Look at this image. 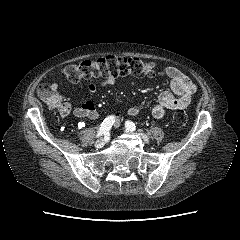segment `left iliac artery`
Wrapping results in <instances>:
<instances>
[{
  "label": "left iliac artery",
  "mask_w": 240,
  "mask_h": 240,
  "mask_svg": "<svg viewBox=\"0 0 240 240\" xmlns=\"http://www.w3.org/2000/svg\"><path fill=\"white\" fill-rule=\"evenodd\" d=\"M125 128H126L127 131H135L136 125L132 121L127 120L125 122Z\"/></svg>",
  "instance_id": "obj_1"
}]
</instances>
